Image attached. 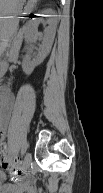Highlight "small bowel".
Masks as SVG:
<instances>
[{"label": "small bowel", "mask_w": 103, "mask_h": 193, "mask_svg": "<svg viewBox=\"0 0 103 193\" xmlns=\"http://www.w3.org/2000/svg\"><path fill=\"white\" fill-rule=\"evenodd\" d=\"M15 103L14 96L9 92H4L2 95L1 109L2 117L0 123L1 139L5 145L7 136L8 118ZM0 178L4 182L2 185L3 193H41V190L36 186L34 180L28 176L13 175V183H6V174L0 172Z\"/></svg>", "instance_id": "c3829d8e"}]
</instances>
